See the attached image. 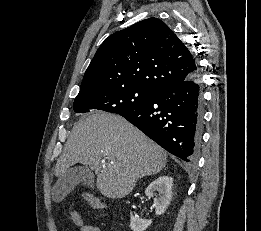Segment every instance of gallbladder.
Masks as SVG:
<instances>
[{"label":"gallbladder","mask_w":261,"mask_h":231,"mask_svg":"<svg viewBox=\"0 0 261 231\" xmlns=\"http://www.w3.org/2000/svg\"><path fill=\"white\" fill-rule=\"evenodd\" d=\"M94 181L93 173L84 166H75L58 178L56 186L53 189L55 201H61L69 194L76 185L86 182L88 185Z\"/></svg>","instance_id":"obj_1"}]
</instances>
